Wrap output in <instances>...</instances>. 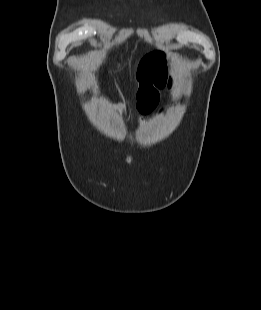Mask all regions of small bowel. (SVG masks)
<instances>
[{
	"instance_id": "c3829d8e",
	"label": "small bowel",
	"mask_w": 261,
	"mask_h": 310,
	"mask_svg": "<svg viewBox=\"0 0 261 310\" xmlns=\"http://www.w3.org/2000/svg\"><path fill=\"white\" fill-rule=\"evenodd\" d=\"M139 78V108L143 113H147L156 105L159 91L171 87L165 55L153 53L147 56L141 63ZM113 105L123 108L119 102H114Z\"/></svg>"
}]
</instances>
